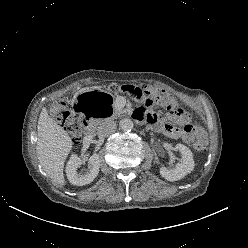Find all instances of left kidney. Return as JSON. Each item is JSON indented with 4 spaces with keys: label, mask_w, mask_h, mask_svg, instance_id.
Returning <instances> with one entry per match:
<instances>
[{
    "label": "left kidney",
    "mask_w": 248,
    "mask_h": 248,
    "mask_svg": "<svg viewBox=\"0 0 248 248\" xmlns=\"http://www.w3.org/2000/svg\"><path fill=\"white\" fill-rule=\"evenodd\" d=\"M175 149L181 153V162L174 169L168 170L166 167L160 168V174L168 181H177L191 173L195 163L191 150L183 144H177Z\"/></svg>",
    "instance_id": "obj_1"
}]
</instances>
